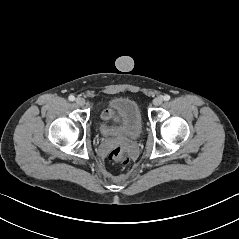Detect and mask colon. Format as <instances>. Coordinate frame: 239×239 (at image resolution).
I'll return each mask as SVG.
<instances>
[{"label": "colon", "mask_w": 239, "mask_h": 239, "mask_svg": "<svg viewBox=\"0 0 239 239\" xmlns=\"http://www.w3.org/2000/svg\"><path fill=\"white\" fill-rule=\"evenodd\" d=\"M109 159L121 165H126L129 162V156L122 148L113 149L109 154Z\"/></svg>", "instance_id": "obj_1"}]
</instances>
